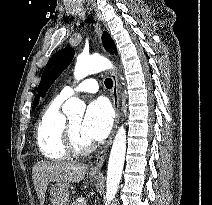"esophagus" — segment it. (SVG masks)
Listing matches in <instances>:
<instances>
[{
  "label": "esophagus",
  "instance_id": "obj_1",
  "mask_svg": "<svg viewBox=\"0 0 212 205\" xmlns=\"http://www.w3.org/2000/svg\"><path fill=\"white\" fill-rule=\"evenodd\" d=\"M95 29L96 33L99 38L102 37L103 34V26L100 20L99 16H95ZM111 77L113 80V87H112V105L115 110V122L113 125V129L111 131V134L107 140V142L104 144V146L100 149L98 152L95 162L93 166L90 168V174L97 175L101 173L102 166L104 164L107 152L109 150V147L112 143L113 137L115 135L118 123H119V118H120V97H119V83H118V78L117 75L114 71L111 72Z\"/></svg>",
  "mask_w": 212,
  "mask_h": 205
}]
</instances>
